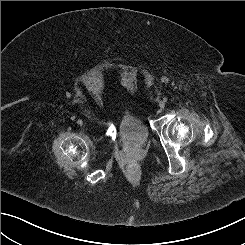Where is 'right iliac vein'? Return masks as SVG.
<instances>
[{
	"mask_svg": "<svg viewBox=\"0 0 245 245\" xmlns=\"http://www.w3.org/2000/svg\"><path fill=\"white\" fill-rule=\"evenodd\" d=\"M76 122H77V124H78L79 126H82V125H83V121H82L81 119H78Z\"/></svg>",
	"mask_w": 245,
	"mask_h": 245,
	"instance_id": "1",
	"label": "right iliac vein"
}]
</instances>
